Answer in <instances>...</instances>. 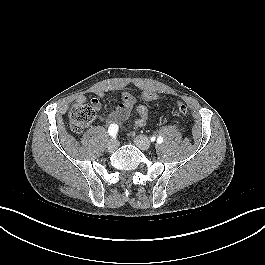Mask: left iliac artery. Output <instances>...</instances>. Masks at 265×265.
I'll use <instances>...</instances> for the list:
<instances>
[{
  "instance_id": "44dca946",
  "label": "left iliac artery",
  "mask_w": 265,
  "mask_h": 265,
  "mask_svg": "<svg viewBox=\"0 0 265 265\" xmlns=\"http://www.w3.org/2000/svg\"><path fill=\"white\" fill-rule=\"evenodd\" d=\"M162 142H163V137L162 136H158L157 143H162Z\"/></svg>"
}]
</instances>
